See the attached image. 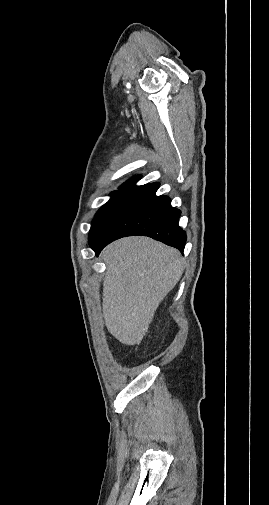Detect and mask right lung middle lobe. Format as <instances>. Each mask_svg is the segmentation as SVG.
I'll return each instance as SVG.
<instances>
[{
    "label": "right lung middle lobe",
    "instance_id": "dd1d6c3e",
    "mask_svg": "<svg viewBox=\"0 0 269 505\" xmlns=\"http://www.w3.org/2000/svg\"><path fill=\"white\" fill-rule=\"evenodd\" d=\"M137 192L138 190L120 188L111 194V199L98 210L92 222L89 232L90 246L99 240L110 222Z\"/></svg>",
    "mask_w": 269,
    "mask_h": 505
}]
</instances>
